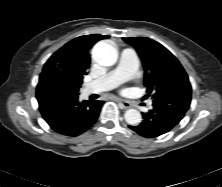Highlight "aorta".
<instances>
[{"mask_svg":"<svg viewBox=\"0 0 222 187\" xmlns=\"http://www.w3.org/2000/svg\"><path fill=\"white\" fill-rule=\"evenodd\" d=\"M117 50L114 46L106 42L97 43L92 50V57L101 66H112L117 61ZM125 121L132 126L140 124L141 113L136 109H129L124 114Z\"/></svg>","mask_w":222,"mask_h":187,"instance_id":"762f6f07","label":"aorta"}]
</instances>
